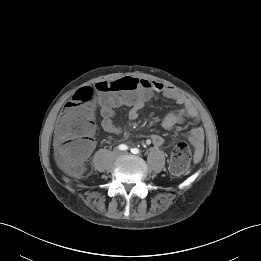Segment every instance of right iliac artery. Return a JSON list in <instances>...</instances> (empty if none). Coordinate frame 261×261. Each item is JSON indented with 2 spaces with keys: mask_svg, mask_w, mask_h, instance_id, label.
I'll return each instance as SVG.
<instances>
[{
  "mask_svg": "<svg viewBox=\"0 0 261 261\" xmlns=\"http://www.w3.org/2000/svg\"><path fill=\"white\" fill-rule=\"evenodd\" d=\"M118 148H119L120 150H122V151H125V150L128 149V146L125 145V144H121V145L118 146Z\"/></svg>",
  "mask_w": 261,
  "mask_h": 261,
  "instance_id": "right-iliac-artery-1",
  "label": "right iliac artery"
}]
</instances>
